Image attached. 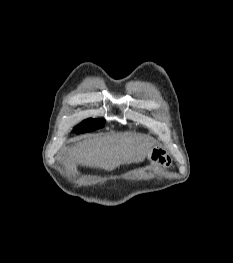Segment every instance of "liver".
I'll list each match as a JSON object with an SVG mask.
<instances>
[{
	"label": "liver",
	"instance_id": "1",
	"mask_svg": "<svg viewBox=\"0 0 233 263\" xmlns=\"http://www.w3.org/2000/svg\"><path fill=\"white\" fill-rule=\"evenodd\" d=\"M152 148V141L141 134L113 133L85 139L74 148L72 156L82 166L111 171L121 164L144 161Z\"/></svg>",
	"mask_w": 233,
	"mask_h": 263
}]
</instances>
